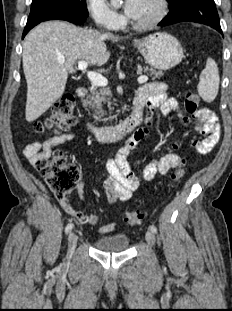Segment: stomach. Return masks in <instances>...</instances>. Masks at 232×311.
<instances>
[{
  "label": "stomach",
  "mask_w": 232,
  "mask_h": 311,
  "mask_svg": "<svg viewBox=\"0 0 232 311\" xmlns=\"http://www.w3.org/2000/svg\"><path fill=\"white\" fill-rule=\"evenodd\" d=\"M146 63L158 70H168L178 65L183 58V48L176 37L166 32H157L135 40Z\"/></svg>",
  "instance_id": "1"
}]
</instances>
